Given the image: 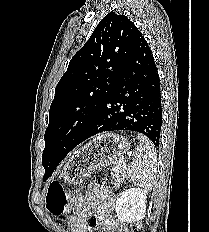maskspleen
I'll list each match as a JSON object with an SVG mask.
<instances>
[{"label": "spleen", "mask_w": 209, "mask_h": 232, "mask_svg": "<svg viewBox=\"0 0 209 232\" xmlns=\"http://www.w3.org/2000/svg\"><path fill=\"white\" fill-rule=\"evenodd\" d=\"M140 146L135 149V158L126 166V174L135 185L150 191L157 172V154L152 142L139 134Z\"/></svg>", "instance_id": "3e777b00"}]
</instances>
